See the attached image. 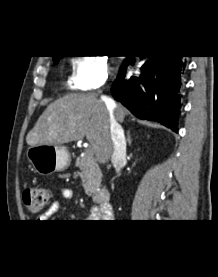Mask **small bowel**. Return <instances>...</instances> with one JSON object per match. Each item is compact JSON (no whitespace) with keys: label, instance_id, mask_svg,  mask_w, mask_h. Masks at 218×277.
Returning <instances> with one entry per match:
<instances>
[{"label":"small bowel","instance_id":"c3829d8e","mask_svg":"<svg viewBox=\"0 0 218 277\" xmlns=\"http://www.w3.org/2000/svg\"><path fill=\"white\" fill-rule=\"evenodd\" d=\"M75 196L74 191L71 189H62L59 193V198L55 200L49 209L41 216L43 220L50 218L51 216L55 215L61 208V200H70L73 199ZM101 217V213L96 211L95 209L92 210L91 219H98Z\"/></svg>","mask_w":218,"mask_h":277}]
</instances>
